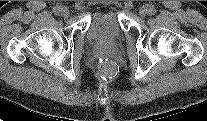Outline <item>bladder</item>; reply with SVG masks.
I'll list each match as a JSON object with an SVG mask.
<instances>
[{
    "instance_id": "obj_1",
    "label": "bladder",
    "mask_w": 207,
    "mask_h": 121,
    "mask_svg": "<svg viewBox=\"0 0 207 121\" xmlns=\"http://www.w3.org/2000/svg\"><path fill=\"white\" fill-rule=\"evenodd\" d=\"M123 35L121 22L116 10H104L95 13L89 24L87 36L95 43H115Z\"/></svg>"
}]
</instances>
